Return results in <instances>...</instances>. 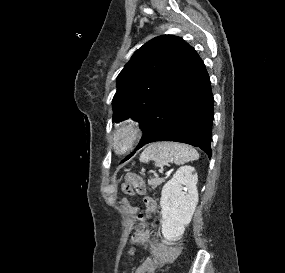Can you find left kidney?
I'll list each match as a JSON object with an SVG mask.
<instances>
[{
  "label": "left kidney",
  "mask_w": 285,
  "mask_h": 273,
  "mask_svg": "<svg viewBox=\"0 0 285 273\" xmlns=\"http://www.w3.org/2000/svg\"><path fill=\"white\" fill-rule=\"evenodd\" d=\"M192 166H182L162 189V234L167 241H177L191 222L198 203L197 173Z\"/></svg>",
  "instance_id": "obj_1"
}]
</instances>
